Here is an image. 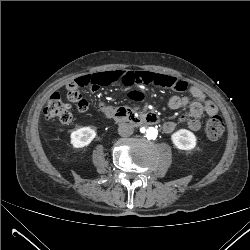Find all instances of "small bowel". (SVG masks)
I'll use <instances>...</instances> for the list:
<instances>
[{
    "label": "small bowel",
    "instance_id": "c3829d8e",
    "mask_svg": "<svg viewBox=\"0 0 250 250\" xmlns=\"http://www.w3.org/2000/svg\"><path fill=\"white\" fill-rule=\"evenodd\" d=\"M152 74L163 77V81L159 86L171 87L176 90H183L188 85L187 82L177 76H173L168 73L154 72ZM191 96L183 95L174 97L171 103L174 107H186L187 110L180 116V120L187 122L191 129L198 130L200 128L199 118L202 115V103L205 102L206 92L198 84H191L190 86ZM175 123L172 120H165L163 128L165 131H171L174 128Z\"/></svg>",
    "mask_w": 250,
    "mask_h": 250
}]
</instances>
